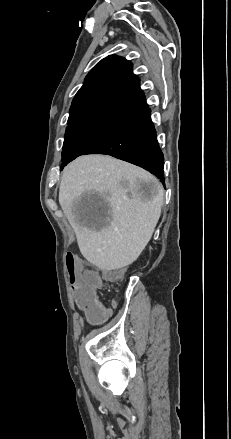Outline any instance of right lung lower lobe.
Returning <instances> with one entry per match:
<instances>
[{
	"instance_id": "1",
	"label": "right lung lower lobe",
	"mask_w": 231,
	"mask_h": 439,
	"mask_svg": "<svg viewBox=\"0 0 231 439\" xmlns=\"http://www.w3.org/2000/svg\"><path fill=\"white\" fill-rule=\"evenodd\" d=\"M145 105L122 120L86 154H107L148 170L164 183V157L156 139V131Z\"/></svg>"
}]
</instances>
